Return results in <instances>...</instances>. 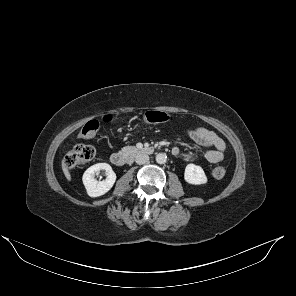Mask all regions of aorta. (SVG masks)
Returning <instances> with one entry per match:
<instances>
[{
  "label": "aorta",
  "instance_id": "obj_1",
  "mask_svg": "<svg viewBox=\"0 0 296 296\" xmlns=\"http://www.w3.org/2000/svg\"><path fill=\"white\" fill-rule=\"evenodd\" d=\"M166 161H167V156H166V154H164V153H158V154L156 155V162H157L158 164H164V163H166Z\"/></svg>",
  "mask_w": 296,
  "mask_h": 296
}]
</instances>
